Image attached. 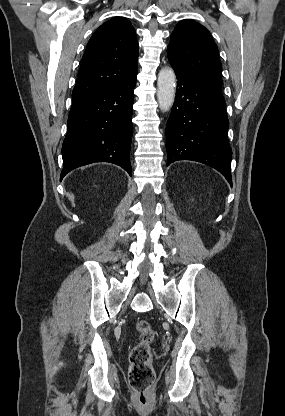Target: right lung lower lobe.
<instances>
[{
	"label": "right lung lower lobe",
	"instance_id": "obj_1",
	"mask_svg": "<svg viewBox=\"0 0 285 416\" xmlns=\"http://www.w3.org/2000/svg\"><path fill=\"white\" fill-rule=\"evenodd\" d=\"M136 76L93 97L72 103L62 146L63 170L111 162L131 176L130 145Z\"/></svg>",
	"mask_w": 285,
	"mask_h": 416
}]
</instances>
